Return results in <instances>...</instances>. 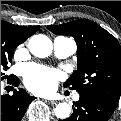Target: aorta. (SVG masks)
I'll return each mask as SVG.
<instances>
[{"instance_id": "aorta-1", "label": "aorta", "mask_w": 121, "mask_h": 121, "mask_svg": "<svg viewBox=\"0 0 121 121\" xmlns=\"http://www.w3.org/2000/svg\"><path fill=\"white\" fill-rule=\"evenodd\" d=\"M28 48L34 56L45 58L51 54L53 45L49 37L43 34H38L30 38ZM54 112L58 118L66 119L70 116L71 106L66 102L59 103L54 109Z\"/></svg>"}]
</instances>
